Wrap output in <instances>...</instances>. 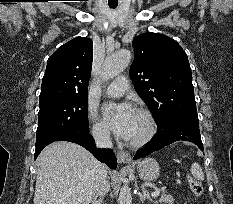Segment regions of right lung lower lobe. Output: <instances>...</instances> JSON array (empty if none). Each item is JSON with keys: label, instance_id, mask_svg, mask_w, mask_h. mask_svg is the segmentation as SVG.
I'll return each mask as SVG.
<instances>
[{"label": "right lung lower lobe", "instance_id": "98d812e1", "mask_svg": "<svg viewBox=\"0 0 233 204\" xmlns=\"http://www.w3.org/2000/svg\"><path fill=\"white\" fill-rule=\"evenodd\" d=\"M54 141H69V142L77 143V144L83 146L84 148H86L88 151L92 152L94 154V156L100 162L105 163L111 169H116L117 159H116L113 151L111 149L97 150L95 148L94 140L89 135L88 131L64 133L62 135L57 136L56 138H54L52 140H49L47 142H43L41 144L36 145L34 159L37 158V156L39 155V153L42 151V149L45 146H47L48 144H50Z\"/></svg>", "mask_w": 233, "mask_h": 204}]
</instances>
